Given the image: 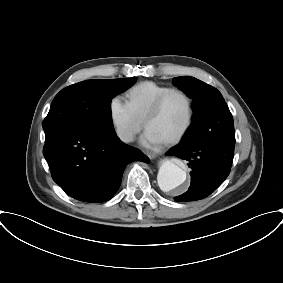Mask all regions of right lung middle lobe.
<instances>
[{
  "label": "right lung middle lobe",
  "mask_w": 283,
  "mask_h": 283,
  "mask_svg": "<svg viewBox=\"0 0 283 283\" xmlns=\"http://www.w3.org/2000/svg\"><path fill=\"white\" fill-rule=\"evenodd\" d=\"M136 77L86 80L61 90L42 126L45 135L61 128L113 129L111 99L131 87Z\"/></svg>",
  "instance_id": "1"
}]
</instances>
